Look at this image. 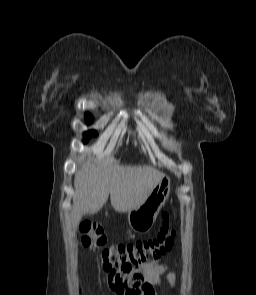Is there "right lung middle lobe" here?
Segmentation results:
<instances>
[{
  "instance_id": "right-lung-middle-lobe-1",
  "label": "right lung middle lobe",
  "mask_w": 256,
  "mask_h": 295,
  "mask_svg": "<svg viewBox=\"0 0 256 295\" xmlns=\"http://www.w3.org/2000/svg\"><path fill=\"white\" fill-rule=\"evenodd\" d=\"M85 119H86L87 123L90 124L93 120V117L90 114H86ZM96 135H97V132L94 130L84 133V138H83L84 143H86L91 137L96 136Z\"/></svg>"
}]
</instances>
